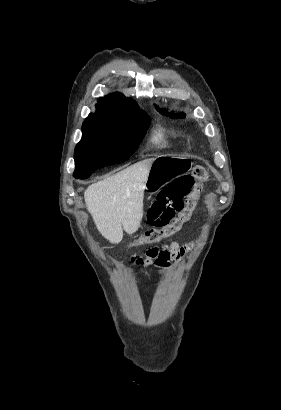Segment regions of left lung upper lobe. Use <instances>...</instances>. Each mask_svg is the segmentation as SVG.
I'll return each mask as SVG.
<instances>
[{
    "label": "left lung upper lobe",
    "instance_id": "left-lung-upper-lobe-1",
    "mask_svg": "<svg viewBox=\"0 0 281 410\" xmlns=\"http://www.w3.org/2000/svg\"><path fill=\"white\" fill-rule=\"evenodd\" d=\"M157 110H158L162 115L169 116V117H171V118H185V117H186V114L183 113V112H181V113H169V112H167V111L164 110V109H158V108H157Z\"/></svg>",
    "mask_w": 281,
    "mask_h": 410
}]
</instances>
